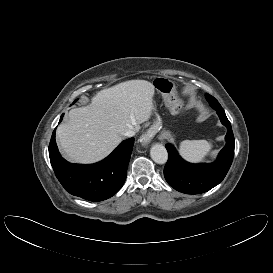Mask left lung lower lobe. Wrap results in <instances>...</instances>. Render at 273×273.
Returning a JSON list of instances; mask_svg holds the SVG:
<instances>
[{
  "instance_id": "1",
  "label": "left lung lower lobe",
  "mask_w": 273,
  "mask_h": 273,
  "mask_svg": "<svg viewBox=\"0 0 273 273\" xmlns=\"http://www.w3.org/2000/svg\"><path fill=\"white\" fill-rule=\"evenodd\" d=\"M223 125L227 127L226 145L218 158L211 164H191L178 155L171 144L166 145L168 161L164 168V177L168 184L186 194H200L218 185L226 176L234 157L235 140L231 124L224 110H216Z\"/></svg>"
}]
</instances>
